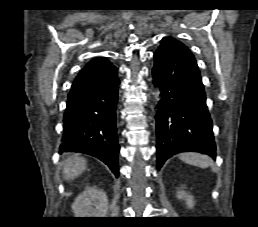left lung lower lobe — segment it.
<instances>
[{
    "label": "left lung lower lobe",
    "mask_w": 258,
    "mask_h": 227,
    "mask_svg": "<svg viewBox=\"0 0 258 227\" xmlns=\"http://www.w3.org/2000/svg\"><path fill=\"white\" fill-rule=\"evenodd\" d=\"M154 58V84L161 92L156 114L157 168L186 151L215 159L212 120L195 58L171 44H161Z\"/></svg>",
    "instance_id": "0a47b994"
}]
</instances>
